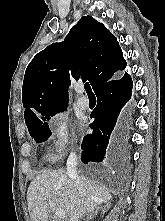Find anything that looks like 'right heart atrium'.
<instances>
[{
  "label": "right heart atrium",
  "instance_id": "d8ad5b80",
  "mask_svg": "<svg viewBox=\"0 0 165 221\" xmlns=\"http://www.w3.org/2000/svg\"><path fill=\"white\" fill-rule=\"evenodd\" d=\"M75 146L76 137L70 119L62 113L56 114L50 123V158L62 159Z\"/></svg>",
  "mask_w": 165,
  "mask_h": 221
}]
</instances>
